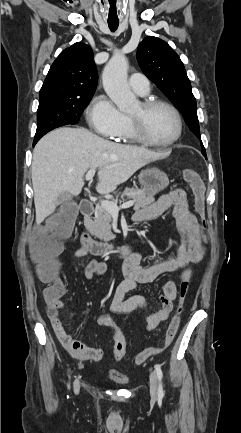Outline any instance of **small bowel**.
<instances>
[{
  "mask_svg": "<svg viewBox=\"0 0 241 433\" xmlns=\"http://www.w3.org/2000/svg\"><path fill=\"white\" fill-rule=\"evenodd\" d=\"M173 209V217L181 238V243L174 256L145 267L142 265L141 255L132 254L124 263L123 272L125 279L117 286L109 304L110 311L116 314H127L137 308L148 312L147 329L153 331L160 323L166 321L173 309V302L177 296V287L173 281H167L159 295V307L151 309L143 295L136 294L125 300V295L134 290L140 284L153 282L157 277L164 273L174 272L184 269L183 275L191 274L189 264L200 262L205 253L204 224L190 212L187 193L183 189H175L168 194L162 195L154 203L143 207L136 212L134 220L138 222L154 220ZM89 253L84 248L76 251V257L88 256ZM107 271V264L99 259L90 260L85 268L84 275L88 280H93ZM182 275V276H183ZM63 285L61 294L53 300H47V315L51 322L53 331L62 344L64 349L76 360L79 361H100L103 356L101 348L88 346L69 335L59 318V310L64 307L62 296L66 293ZM107 315V318H104ZM109 314H101L96 318L99 326L114 327L113 320ZM119 330V329H118Z\"/></svg>",
  "mask_w": 241,
  "mask_h": 433,
  "instance_id": "small-bowel-1",
  "label": "small bowel"
}]
</instances>
